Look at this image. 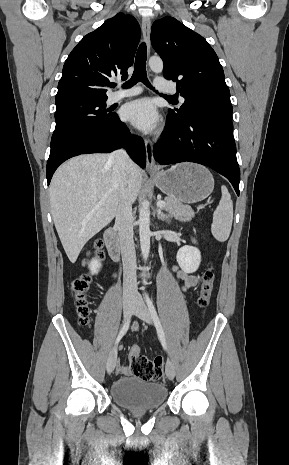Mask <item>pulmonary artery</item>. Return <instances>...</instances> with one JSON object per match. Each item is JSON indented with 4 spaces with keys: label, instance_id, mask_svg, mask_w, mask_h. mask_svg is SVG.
<instances>
[{
    "label": "pulmonary artery",
    "instance_id": "1",
    "mask_svg": "<svg viewBox=\"0 0 289 465\" xmlns=\"http://www.w3.org/2000/svg\"><path fill=\"white\" fill-rule=\"evenodd\" d=\"M154 86L157 90L162 92H170L174 93L176 90L174 86L169 84L163 77H156L154 81ZM142 89L140 87H132L130 89H121L111 93L109 95L108 101L109 103H115L121 99L138 95L141 93ZM181 101H184L183 97H180Z\"/></svg>",
    "mask_w": 289,
    "mask_h": 465
}]
</instances>
